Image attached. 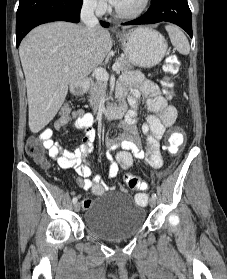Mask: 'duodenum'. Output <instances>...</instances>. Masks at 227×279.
Masks as SVG:
<instances>
[{"label":"duodenum","mask_w":227,"mask_h":279,"mask_svg":"<svg viewBox=\"0 0 227 279\" xmlns=\"http://www.w3.org/2000/svg\"><path fill=\"white\" fill-rule=\"evenodd\" d=\"M90 80L88 77L80 79L71 88L73 96H81L85 93ZM100 115L106 118H120L123 115V108L121 106H107L100 110Z\"/></svg>","instance_id":"obj_1"}]
</instances>
